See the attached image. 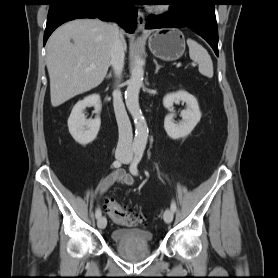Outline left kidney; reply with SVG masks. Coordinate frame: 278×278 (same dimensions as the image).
I'll return each mask as SVG.
<instances>
[{"mask_svg":"<svg viewBox=\"0 0 278 278\" xmlns=\"http://www.w3.org/2000/svg\"><path fill=\"white\" fill-rule=\"evenodd\" d=\"M180 101L187 105L186 110L181 111L182 121L176 124L173 121L174 113L168 114L164 119L165 131L174 140L188 136L201 119L197 99L186 91L167 94L163 98V105L165 108L171 109L174 103Z\"/></svg>","mask_w":278,"mask_h":278,"instance_id":"5707ae66","label":"left kidney"}]
</instances>
